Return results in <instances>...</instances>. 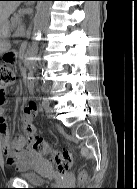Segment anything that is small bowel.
<instances>
[{"label": "small bowel", "instance_id": "small-bowel-1", "mask_svg": "<svg viewBox=\"0 0 137 189\" xmlns=\"http://www.w3.org/2000/svg\"><path fill=\"white\" fill-rule=\"evenodd\" d=\"M27 87L29 91H33L34 81L30 79ZM6 97L3 94L0 96V143L2 144L3 152L6 157V162L16 169L21 170L30 165L36 157L29 148V140L34 136L36 127L33 123L34 114H28L26 108L23 112V123L25 134L11 139L9 126L4 111Z\"/></svg>", "mask_w": 137, "mask_h": 189}]
</instances>
